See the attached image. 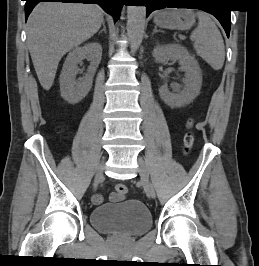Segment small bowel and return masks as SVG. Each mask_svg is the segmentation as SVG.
I'll return each instance as SVG.
<instances>
[{
    "label": "small bowel",
    "instance_id": "small-bowel-1",
    "mask_svg": "<svg viewBox=\"0 0 259 266\" xmlns=\"http://www.w3.org/2000/svg\"><path fill=\"white\" fill-rule=\"evenodd\" d=\"M124 196H120L118 195L116 192L112 193L110 195V200L113 201V202H118V201H121L123 199ZM104 201V198L102 195L98 194V195H95L93 197V203L96 204V205H100L102 204Z\"/></svg>",
    "mask_w": 259,
    "mask_h": 266
}]
</instances>
